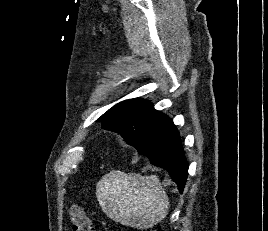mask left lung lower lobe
<instances>
[{
    "mask_svg": "<svg viewBox=\"0 0 268 231\" xmlns=\"http://www.w3.org/2000/svg\"><path fill=\"white\" fill-rule=\"evenodd\" d=\"M140 155L147 156L151 164L166 169L182 193L185 187L188 164L184 156L180 135L168 117L145 141L133 145Z\"/></svg>",
    "mask_w": 268,
    "mask_h": 231,
    "instance_id": "1",
    "label": "left lung lower lobe"
}]
</instances>
